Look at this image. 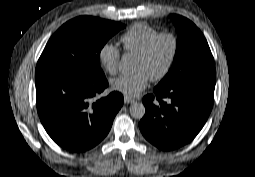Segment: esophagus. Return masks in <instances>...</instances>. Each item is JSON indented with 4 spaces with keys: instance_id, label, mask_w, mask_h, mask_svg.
Segmentation results:
<instances>
[{
    "instance_id": "1",
    "label": "esophagus",
    "mask_w": 255,
    "mask_h": 177,
    "mask_svg": "<svg viewBox=\"0 0 255 177\" xmlns=\"http://www.w3.org/2000/svg\"><path fill=\"white\" fill-rule=\"evenodd\" d=\"M133 102H135L134 99L129 98V97H127V96H124V103H125V104H129V103H133Z\"/></svg>"
}]
</instances>
